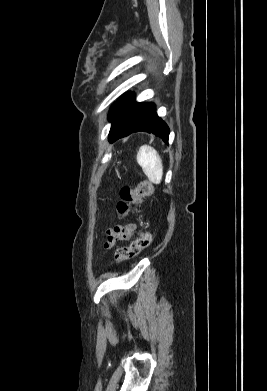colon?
<instances>
[{
  "label": "colon",
  "instance_id": "obj_1",
  "mask_svg": "<svg viewBox=\"0 0 267 391\" xmlns=\"http://www.w3.org/2000/svg\"><path fill=\"white\" fill-rule=\"evenodd\" d=\"M153 193V185L148 181H141L134 187H123L120 190V197L116 203V210L120 218L125 217L132 207L141 204L144 198ZM151 243V236L147 232H139L136 238L125 247L116 251V261L129 260L136 257L142 250Z\"/></svg>",
  "mask_w": 267,
  "mask_h": 391
}]
</instances>
